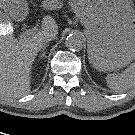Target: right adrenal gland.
Returning a JSON list of instances; mask_svg holds the SVG:
<instances>
[{"mask_svg": "<svg viewBox=\"0 0 135 135\" xmlns=\"http://www.w3.org/2000/svg\"><path fill=\"white\" fill-rule=\"evenodd\" d=\"M46 47H47V42L44 43V45L42 47V53L40 55V57H42V58H46V51H45Z\"/></svg>", "mask_w": 135, "mask_h": 135, "instance_id": "2a0ac1e0", "label": "right adrenal gland"}]
</instances>
